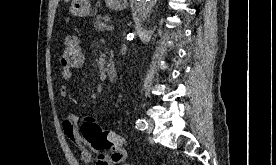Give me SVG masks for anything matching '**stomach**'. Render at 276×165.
<instances>
[{
	"mask_svg": "<svg viewBox=\"0 0 276 165\" xmlns=\"http://www.w3.org/2000/svg\"><path fill=\"white\" fill-rule=\"evenodd\" d=\"M107 7L112 10H122L127 7L128 0H105ZM91 12L89 0H72L70 13L77 17H86Z\"/></svg>",
	"mask_w": 276,
	"mask_h": 165,
	"instance_id": "obj_1",
	"label": "stomach"
}]
</instances>
